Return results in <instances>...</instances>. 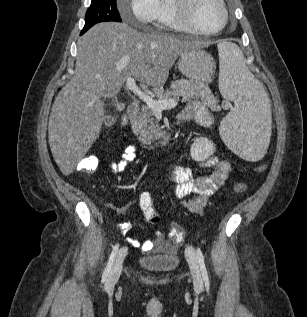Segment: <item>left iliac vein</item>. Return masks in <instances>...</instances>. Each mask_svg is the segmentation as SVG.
Segmentation results:
<instances>
[{"mask_svg":"<svg viewBox=\"0 0 307 317\" xmlns=\"http://www.w3.org/2000/svg\"><path fill=\"white\" fill-rule=\"evenodd\" d=\"M185 255L190 267L191 276H192L194 285L197 288H202L203 281H202L201 273L198 267L196 253L192 246H187L185 250Z\"/></svg>","mask_w":307,"mask_h":317,"instance_id":"obj_1","label":"left iliac vein"}]
</instances>
